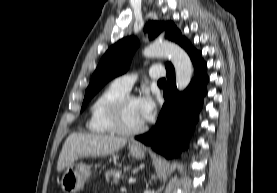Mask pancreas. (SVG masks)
<instances>
[{
	"label": "pancreas",
	"instance_id": "1",
	"mask_svg": "<svg viewBox=\"0 0 277 193\" xmlns=\"http://www.w3.org/2000/svg\"><path fill=\"white\" fill-rule=\"evenodd\" d=\"M120 175H121L120 169H111L105 172L106 180L107 181L111 180V184H118L119 180L123 178V176H120Z\"/></svg>",
	"mask_w": 277,
	"mask_h": 193
}]
</instances>
